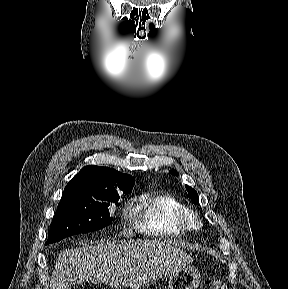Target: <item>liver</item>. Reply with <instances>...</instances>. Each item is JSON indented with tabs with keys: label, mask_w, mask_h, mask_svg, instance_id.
Instances as JSON below:
<instances>
[{
	"label": "liver",
	"mask_w": 288,
	"mask_h": 289,
	"mask_svg": "<svg viewBox=\"0 0 288 289\" xmlns=\"http://www.w3.org/2000/svg\"><path fill=\"white\" fill-rule=\"evenodd\" d=\"M191 262L188 254L168 241L86 244L59 254L49 289H68L72 272L87 282L140 289Z\"/></svg>",
	"instance_id": "1"
}]
</instances>
